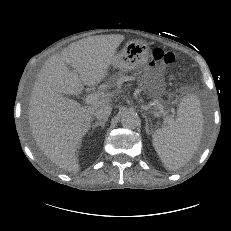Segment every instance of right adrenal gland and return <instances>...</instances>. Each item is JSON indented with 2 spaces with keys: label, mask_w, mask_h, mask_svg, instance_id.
<instances>
[{
  "label": "right adrenal gland",
  "mask_w": 231,
  "mask_h": 231,
  "mask_svg": "<svg viewBox=\"0 0 231 231\" xmlns=\"http://www.w3.org/2000/svg\"><path fill=\"white\" fill-rule=\"evenodd\" d=\"M107 122V120L104 121H97L92 125V130H95L98 126H101L102 129H104L105 127V123Z\"/></svg>",
  "instance_id": "right-adrenal-gland-1"
}]
</instances>
